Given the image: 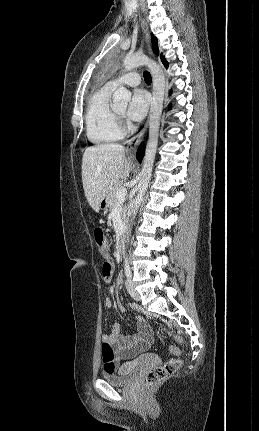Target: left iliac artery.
I'll return each mask as SVG.
<instances>
[{
	"label": "left iliac artery",
	"mask_w": 259,
	"mask_h": 431,
	"mask_svg": "<svg viewBox=\"0 0 259 431\" xmlns=\"http://www.w3.org/2000/svg\"><path fill=\"white\" fill-rule=\"evenodd\" d=\"M124 269H125V275L127 276V278H131V270H130V266H129V262H128L127 257L125 258Z\"/></svg>",
	"instance_id": "obj_1"
}]
</instances>
